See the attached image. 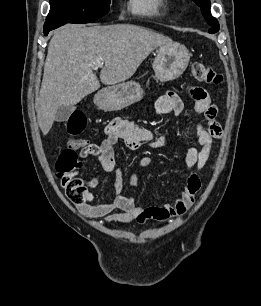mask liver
I'll use <instances>...</instances> for the list:
<instances>
[{"mask_svg": "<svg viewBox=\"0 0 261 306\" xmlns=\"http://www.w3.org/2000/svg\"><path fill=\"white\" fill-rule=\"evenodd\" d=\"M173 41L162 34L130 24L65 25L48 45L44 74L35 109L43 135L48 134L61 106H71L96 91L97 59L104 65L100 80L115 85L131 78L157 47Z\"/></svg>", "mask_w": 261, "mask_h": 306, "instance_id": "1", "label": "liver"}]
</instances>
